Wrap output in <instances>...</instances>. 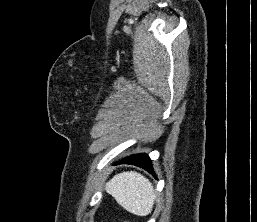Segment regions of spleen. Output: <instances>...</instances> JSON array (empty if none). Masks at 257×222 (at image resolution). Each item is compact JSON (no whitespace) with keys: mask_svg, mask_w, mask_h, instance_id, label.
Segmentation results:
<instances>
[{"mask_svg":"<svg viewBox=\"0 0 257 222\" xmlns=\"http://www.w3.org/2000/svg\"><path fill=\"white\" fill-rule=\"evenodd\" d=\"M105 190L125 210L138 216L149 215L156 198L151 182L135 171L122 172L106 183Z\"/></svg>","mask_w":257,"mask_h":222,"instance_id":"spleen-1","label":"spleen"}]
</instances>
